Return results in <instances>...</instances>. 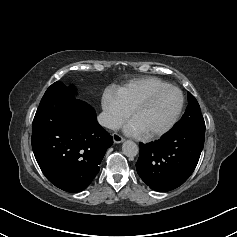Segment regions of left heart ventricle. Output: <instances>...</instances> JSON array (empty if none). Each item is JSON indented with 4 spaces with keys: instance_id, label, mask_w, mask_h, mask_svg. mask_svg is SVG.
<instances>
[{
    "instance_id": "1",
    "label": "left heart ventricle",
    "mask_w": 237,
    "mask_h": 237,
    "mask_svg": "<svg viewBox=\"0 0 237 237\" xmlns=\"http://www.w3.org/2000/svg\"><path fill=\"white\" fill-rule=\"evenodd\" d=\"M179 104L178 92L168 90L137 111L132 121L142 133L158 130L171 120Z\"/></svg>"
}]
</instances>
